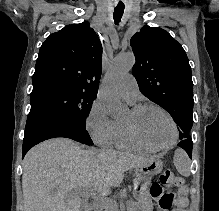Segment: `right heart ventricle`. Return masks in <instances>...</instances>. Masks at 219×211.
<instances>
[{
    "mask_svg": "<svg viewBox=\"0 0 219 211\" xmlns=\"http://www.w3.org/2000/svg\"><path fill=\"white\" fill-rule=\"evenodd\" d=\"M117 129L113 144L121 149L130 151H148L147 148L135 142L125 126L124 121L116 120Z\"/></svg>",
    "mask_w": 219,
    "mask_h": 211,
    "instance_id": "right-heart-ventricle-1",
    "label": "right heart ventricle"
}]
</instances>
